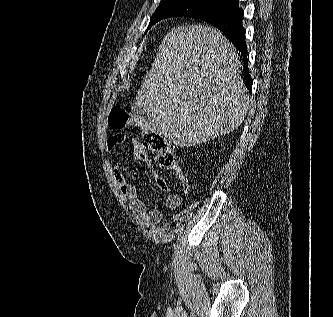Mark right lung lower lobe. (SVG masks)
I'll return each mask as SVG.
<instances>
[{
    "label": "right lung lower lobe",
    "instance_id": "1",
    "mask_svg": "<svg viewBox=\"0 0 333 317\" xmlns=\"http://www.w3.org/2000/svg\"><path fill=\"white\" fill-rule=\"evenodd\" d=\"M243 15L244 11L238 7V2H235L193 17L204 20L220 29L243 55V62L246 64L245 70H247V46L245 42V29L242 26ZM244 81L251 92L252 79L248 73L244 75Z\"/></svg>",
    "mask_w": 333,
    "mask_h": 317
}]
</instances>
